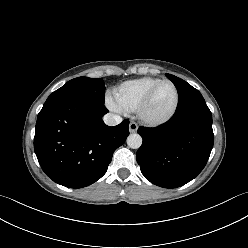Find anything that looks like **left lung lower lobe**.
Here are the masks:
<instances>
[{
  "label": "left lung lower lobe",
  "instance_id": "left-lung-lower-lobe-1",
  "mask_svg": "<svg viewBox=\"0 0 248 248\" xmlns=\"http://www.w3.org/2000/svg\"><path fill=\"white\" fill-rule=\"evenodd\" d=\"M143 138L137 162L144 177L164 187H180L205 167L214 143L212 114L205 101L175 112L155 128L139 127Z\"/></svg>",
  "mask_w": 248,
  "mask_h": 248
}]
</instances>
